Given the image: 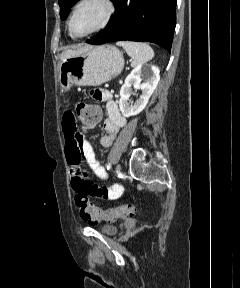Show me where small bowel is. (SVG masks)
<instances>
[{
	"instance_id": "obj_1",
	"label": "small bowel",
	"mask_w": 240,
	"mask_h": 288,
	"mask_svg": "<svg viewBox=\"0 0 240 288\" xmlns=\"http://www.w3.org/2000/svg\"><path fill=\"white\" fill-rule=\"evenodd\" d=\"M92 96L96 100L105 102L106 118L103 122V129L106 134L101 137L99 142L102 147L108 148L112 145L119 130L125 126L126 119L121 114L110 91L106 89H95L92 91ZM62 131L65 139V150L70 169L71 185L74 191L100 199H118L124 191V187L120 183H114L110 186L97 185L82 168V162L85 161L97 177L102 180L108 179L107 173L96 159L91 144L79 132L73 111L68 110L64 113Z\"/></svg>"
}]
</instances>
